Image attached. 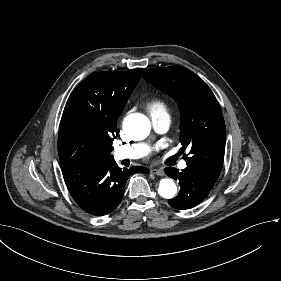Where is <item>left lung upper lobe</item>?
<instances>
[{"label":"left lung upper lobe","mask_w":281,"mask_h":281,"mask_svg":"<svg viewBox=\"0 0 281 281\" xmlns=\"http://www.w3.org/2000/svg\"><path fill=\"white\" fill-rule=\"evenodd\" d=\"M143 78L177 101L181 113L180 142L191 148L189 156H184L187 166L217 180L224 160L226 129L211 89L182 66L143 70Z\"/></svg>","instance_id":"5c2ea615"}]
</instances>
